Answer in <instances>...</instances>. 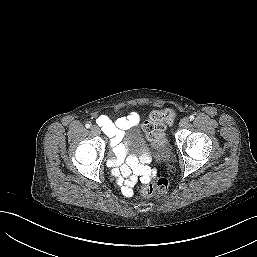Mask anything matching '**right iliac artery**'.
I'll use <instances>...</instances> for the list:
<instances>
[{
    "mask_svg": "<svg viewBox=\"0 0 257 257\" xmlns=\"http://www.w3.org/2000/svg\"><path fill=\"white\" fill-rule=\"evenodd\" d=\"M90 126H91V125L88 124V123L85 125L86 128H90Z\"/></svg>",
    "mask_w": 257,
    "mask_h": 257,
    "instance_id": "82829eb1",
    "label": "right iliac artery"
}]
</instances>
